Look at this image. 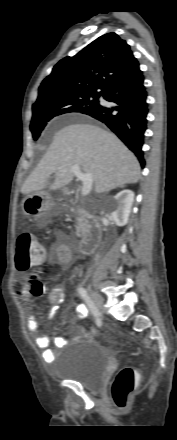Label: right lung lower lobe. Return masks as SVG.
I'll list each match as a JSON object with an SVG mask.
<instances>
[{"instance_id": "1", "label": "right lung lower lobe", "mask_w": 177, "mask_h": 440, "mask_svg": "<svg viewBox=\"0 0 177 440\" xmlns=\"http://www.w3.org/2000/svg\"><path fill=\"white\" fill-rule=\"evenodd\" d=\"M143 81L142 71L138 68L103 94V98L114 106L99 104L85 113L105 123L134 152L142 167L145 165L142 146L148 113Z\"/></svg>"}]
</instances>
